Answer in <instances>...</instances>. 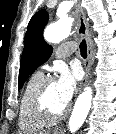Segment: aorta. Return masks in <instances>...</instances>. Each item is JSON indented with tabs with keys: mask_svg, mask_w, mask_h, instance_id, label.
<instances>
[{
	"mask_svg": "<svg viewBox=\"0 0 116 134\" xmlns=\"http://www.w3.org/2000/svg\"><path fill=\"white\" fill-rule=\"evenodd\" d=\"M72 20L69 18L61 19L48 26L44 32V38L49 43H58L66 38L71 32ZM92 102V91L89 87L79 95L74 105L69 119V129L71 133L76 132L84 123Z\"/></svg>",
	"mask_w": 116,
	"mask_h": 134,
	"instance_id": "1",
	"label": "aorta"
}]
</instances>
